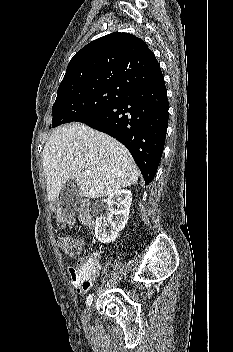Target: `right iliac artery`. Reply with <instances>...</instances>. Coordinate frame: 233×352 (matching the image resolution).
<instances>
[{
  "mask_svg": "<svg viewBox=\"0 0 233 352\" xmlns=\"http://www.w3.org/2000/svg\"><path fill=\"white\" fill-rule=\"evenodd\" d=\"M92 300H93V294H89V296L87 297V300H86L87 306L91 305Z\"/></svg>",
  "mask_w": 233,
  "mask_h": 352,
  "instance_id": "right-iliac-artery-1",
  "label": "right iliac artery"
}]
</instances>
